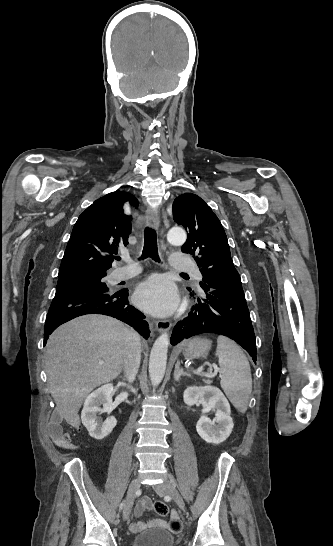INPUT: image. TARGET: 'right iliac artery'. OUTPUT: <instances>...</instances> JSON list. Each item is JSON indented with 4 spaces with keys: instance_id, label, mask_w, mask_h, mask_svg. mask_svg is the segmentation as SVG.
I'll return each mask as SVG.
<instances>
[{
    "instance_id": "82829eb1",
    "label": "right iliac artery",
    "mask_w": 333,
    "mask_h": 546,
    "mask_svg": "<svg viewBox=\"0 0 333 546\" xmlns=\"http://www.w3.org/2000/svg\"><path fill=\"white\" fill-rule=\"evenodd\" d=\"M122 507H123V503L121 504L120 508L122 509Z\"/></svg>"
}]
</instances>
